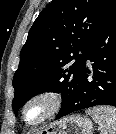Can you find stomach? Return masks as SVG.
Returning <instances> with one entry per match:
<instances>
[{
	"label": "stomach",
	"mask_w": 116,
	"mask_h": 134,
	"mask_svg": "<svg viewBox=\"0 0 116 134\" xmlns=\"http://www.w3.org/2000/svg\"><path fill=\"white\" fill-rule=\"evenodd\" d=\"M92 122L85 116L72 115L51 123L39 134H92Z\"/></svg>",
	"instance_id": "0dacf381"
}]
</instances>
